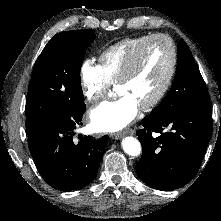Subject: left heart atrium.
<instances>
[{
  "instance_id": "left-heart-atrium-1",
  "label": "left heart atrium",
  "mask_w": 221,
  "mask_h": 221,
  "mask_svg": "<svg viewBox=\"0 0 221 221\" xmlns=\"http://www.w3.org/2000/svg\"><path fill=\"white\" fill-rule=\"evenodd\" d=\"M139 105L129 96L121 95L105 101L90 111L93 128L100 132H116L131 124L137 117Z\"/></svg>"
}]
</instances>
